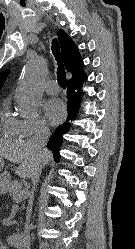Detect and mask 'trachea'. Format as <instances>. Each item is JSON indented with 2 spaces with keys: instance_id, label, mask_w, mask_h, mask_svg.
<instances>
[{
  "instance_id": "3493384b",
  "label": "trachea",
  "mask_w": 135,
  "mask_h": 249,
  "mask_svg": "<svg viewBox=\"0 0 135 249\" xmlns=\"http://www.w3.org/2000/svg\"><path fill=\"white\" fill-rule=\"evenodd\" d=\"M52 52L55 56L58 68H57V80L61 87L66 88V72L63 66V61L60 53V47L57 39L52 42Z\"/></svg>"
}]
</instances>
